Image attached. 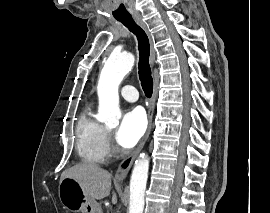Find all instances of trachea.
<instances>
[{
  "label": "trachea",
  "instance_id": "trachea-1",
  "mask_svg": "<svg viewBox=\"0 0 270 213\" xmlns=\"http://www.w3.org/2000/svg\"><path fill=\"white\" fill-rule=\"evenodd\" d=\"M120 22L125 25L137 37L139 50V79L141 81V86L145 95L150 98L153 93V79L149 64L150 44L148 36L146 35L145 31L140 26H138L132 18L122 19L120 20Z\"/></svg>",
  "mask_w": 270,
  "mask_h": 213
}]
</instances>
